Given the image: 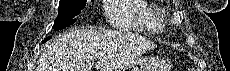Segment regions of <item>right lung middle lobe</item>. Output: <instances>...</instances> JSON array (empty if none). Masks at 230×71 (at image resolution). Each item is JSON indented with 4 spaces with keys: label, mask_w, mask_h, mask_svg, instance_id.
<instances>
[{
    "label": "right lung middle lobe",
    "mask_w": 230,
    "mask_h": 71,
    "mask_svg": "<svg viewBox=\"0 0 230 71\" xmlns=\"http://www.w3.org/2000/svg\"><path fill=\"white\" fill-rule=\"evenodd\" d=\"M86 2L87 0H60L58 16L52 28L60 30L73 24L76 21L75 17L80 14Z\"/></svg>",
    "instance_id": "right-lung-middle-lobe-1"
}]
</instances>
